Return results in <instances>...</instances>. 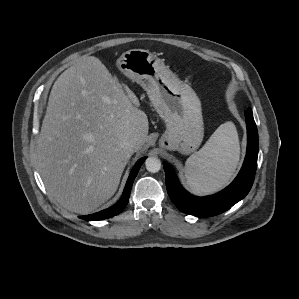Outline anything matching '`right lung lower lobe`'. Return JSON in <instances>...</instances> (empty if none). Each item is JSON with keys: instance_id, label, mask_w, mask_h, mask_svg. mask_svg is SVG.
Masks as SVG:
<instances>
[{"instance_id": "98d812e1", "label": "right lung lower lobe", "mask_w": 299, "mask_h": 299, "mask_svg": "<svg viewBox=\"0 0 299 299\" xmlns=\"http://www.w3.org/2000/svg\"><path fill=\"white\" fill-rule=\"evenodd\" d=\"M145 159H146V157L141 158L133 167V169L129 175V178L127 180L123 194H122L120 200L115 205H113L112 207H110L108 209L100 211L98 213L92 214V215L80 216V218L85 219V220H102V219L111 218V217L119 214L128 203L133 181L139 171V168L141 167V165L143 164Z\"/></svg>"}]
</instances>
